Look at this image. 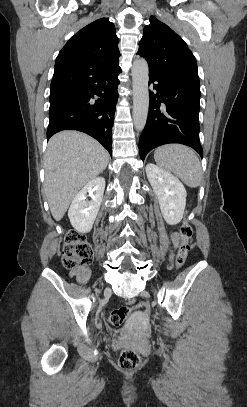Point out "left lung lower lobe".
I'll return each mask as SVG.
<instances>
[{"label":"left lung lower lobe","mask_w":247,"mask_h":407,"mask_svg":"<svg viewBox=\"0 0 247 407\" xmlns=\"http://www.w3.org/2000/svg\"><path fill=\"white\" fill-rule=\"evenodd\" d=\"M156 94L151 93L148 118L139 139L142 160L147 153L164 144L180 143L192 147L201 157L199 139V83L149 74Z\"/></svg>","instance_id":"left-lung-lower-lobe-1"}]
</instances>
